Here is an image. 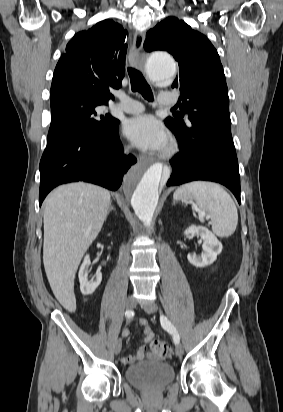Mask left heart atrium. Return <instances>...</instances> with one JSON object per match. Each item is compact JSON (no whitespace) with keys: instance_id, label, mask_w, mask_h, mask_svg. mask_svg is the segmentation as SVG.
<instances>
[{"instance_id":"obj_1","label":"left heart atrium","mask_w":283,"mask_h":412,"mask_svg":"<svg viewBox=\"0 0 283 412\" xmlns=\"http://www.w3.org/2000/svg\"><path fill=\"white\" fill-rule=\"evenodd\" d=\"M123 132L134 145L142 150L161 151L168 142L163 124L151 115H140L127 120Z\"/></svg>"}]
</instances>
